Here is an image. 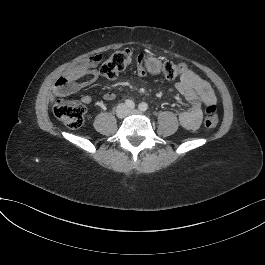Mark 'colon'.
I'll use <instances>...</instances> for the list:
<instances>
[{"mask_svg":"<svg viewBox=\"0 0 265 265\" xmlns=\"http://www.w3.org/2000/svg\"><path fill=\"white\" fill-rule=\"evenodd\" d=\"M131 59L132 54L128 49L115 51L103 61L100 55L91 56L76 63L64 77L58 80L57 87L60 90H64L82 71L97 66L99 63H101L100 73L104 77L113 79L130 64ZM188 71L190 69L185 64L167 62L163 65V75L168 80L176 79ZM53 112L55 117L65 125L76 129L84 123L86 108L79 102L69 101L59 97L54 104ZM217 125L218 116L216 105L214 103L207 104L205 107L204 126L207 129H214Z\"/></svg>","mask_w":265,"mask_h":265,"instance_id":"1","label":"colon"}]
</instances>
